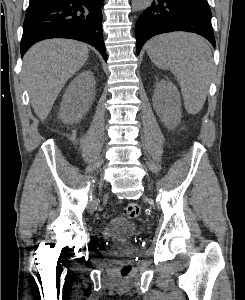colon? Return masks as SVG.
I'll use <instances>...</instances> for the list:
<instances>
[{
	"label": "colon",
	"instance_id": "colon-1",
	"mask_svg": "<svg viewBox=\"0 0 245 300\" xmlns=\"http://www.w3.org/2000/svg\"><path fill=\"white\" fill-rule=\"evenodd\" d=\"M141 213V207L136 202H131L126 205L124 215L129 219L137 218ZM132 266L129 263L122 264L117 268V272L121 277H127L131 272Z\"/></svg>",
	"mask_w": 245,
	"mask_h": 300
}]
</instances>
